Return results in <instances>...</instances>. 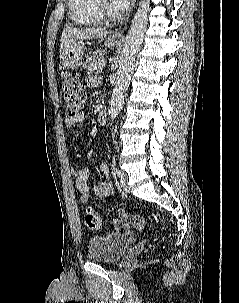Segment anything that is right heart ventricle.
Listing matches in <instances>:
<instances>
[{"label": "right heart ventricle", "mask_w": 239, "mask_h": 303, "mask_svg": "<svg viewBox=\"0 0 239 303\" xmlns=\"http://www.w3.org/2000/svg\"><path fill=\"white\" fill-rule=\"evenodd\" d=\"M69 14L78 25H95L101 23L103 17L97 9L95 0H67Z\"/></svg>", "instance_id": "e07e8e85"}]
</instances>
